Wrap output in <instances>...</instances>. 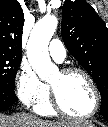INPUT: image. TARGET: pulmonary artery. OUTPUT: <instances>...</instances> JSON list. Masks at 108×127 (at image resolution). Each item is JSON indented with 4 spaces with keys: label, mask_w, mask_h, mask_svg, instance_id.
I'll use <instances>...</instances> for the list:
<instances>
[{
    "label": "pulmonary artery",
    "mask_w": 108,
    "mask_h": 127,
    "mask_svg": "<svg viewBox=\"0 0 108 127\" xmlns=\"http://www.w3.org/2000/svg\"><path fill=\"white\" fill-rule=\"evenodd\" d=\"M49 53L51 57L58 63L63 62L66 57V49L63 43L58 39H53L50 42Z\"/></svg>",
    "instance_id": "pulmonary-artery-1"
}]
</instances>
